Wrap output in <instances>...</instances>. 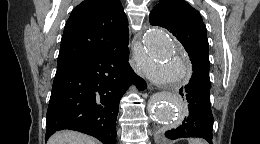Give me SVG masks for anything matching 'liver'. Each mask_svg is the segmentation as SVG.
I'll use <instances>...</instances> for the list:
<instances>
[{
    "instance_id": "6515ba94",
    "label": "liver",
    "mask_w": 260,
    "mask_h": 144,
    "mask_svg": "<svg viewBox=\"0 0 260 144\" xmlns=\"http://www.w3.org/2000/svg\"><path fill=\"white\" fill-rule=\"evenodd\" d=\"M48 144H98V141L75 131H60L50 137Z\"/></svg>"
}]
</instances>
